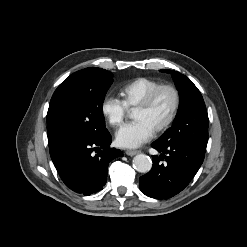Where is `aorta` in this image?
<instances>
[{
  "label": "aorta",
  "mask_w": 247,
  "mask_h": 247,
  "mask_svg": "<svg viewBox=\"0 0 247 247\" xmlns=\"http://www.w3.org/2000/svg\"><path fill=\"white\" fill-rule=\"evenodd\" d=\"M134 168L140 173H147L151 170L152 161L145 154H138L133 159Z\"/></svg>",
  "instance_id": "762f6f07"
}]
</instances>
